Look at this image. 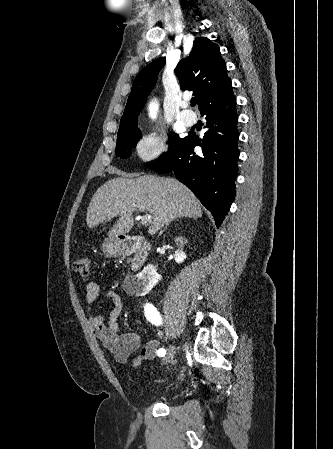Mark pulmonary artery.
<instances>
[{
  "mask_svg": "<svg viewBox=\"0 0 333 449\" xmlns=\"http://www.w3.org/2000/svg\"><path fill=\"white\" fill-rule=\"evenodd\" d=\"M184 108L186 107V104H183ZM181 121L186 125V126H192L195 124L196 122V116L193 112L187 110V109H183L180 112L179 115Z\"/></svg>",
  "mask_w": 333,
  "mask_h": 449,
  "instance_id": "1",
  "label": "pulmonary artery"
}]
</instances>
